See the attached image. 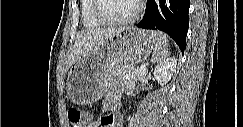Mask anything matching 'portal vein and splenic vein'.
Returning a JSON list of instances; mask_svg holds the SVG:
<instances>
[{
	"mask_svg": "<svg viewBox=\"0 0 243 127\" xmlns=\"http://www.w3.org/2000/svg\"><path fill=\"white\" fill-rule=\"evenodd\" d=\"M139 72H140L141 74L146 73V68H145V67H141V68L139 69Z\"/></svg>",
	"mask_w": 243,
	"mask_h": 127,
	"instance_id": "18ae733b",
	"label": "portal vein and splenic vein"
}]
</instances>
